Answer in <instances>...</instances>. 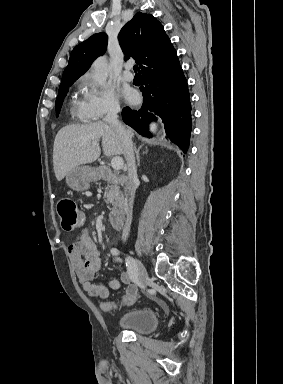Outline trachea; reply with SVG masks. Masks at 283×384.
Here are the masks:
<instances>
[{
    "mask_svg": "<svg viewBox=\"0 0 283 384\" xmlns=\"http://www.w3.org/2000/svg\"><path fill=\"white\" fill-rule=\"evenodd\" d=\"M133 70H134L135 73H137V71H138V65H134Z\"/></svg>",
    "mask_w": 283,
    "mask_h": 384,
    "instance_id": "trachea-1",
    "label": "trachea"
}]
</instances>
